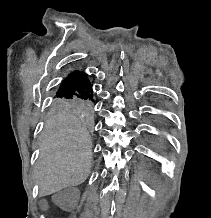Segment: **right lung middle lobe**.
<instances>
[{
    "label": "right lung middle lobe",
    "instance_id": "right-lung-middle-lobe-1",
    "mask_svg": "<svg viewBox=\"0 0 211 218\" xmlns=\"http://www.w3.org/2000/svg\"><path fill=\"white\" fill-rule=\"evenodd\" d=\"M94 107V101L78 97H54L51 103V109L56 112L65 111H84L91 112Z\"/></svg>",
    "mask_w": 211,
    "mask_h": 218
}]
</instances>
